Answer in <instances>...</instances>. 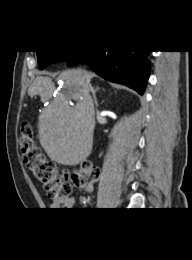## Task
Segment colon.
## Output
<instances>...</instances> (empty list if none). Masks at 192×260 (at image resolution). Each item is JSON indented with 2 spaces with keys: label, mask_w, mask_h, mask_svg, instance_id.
Masks as SVG:
<instances>
[{
  "label": "colon",
  "mask_w": 192,
  "mask_h": 260,
  "mask_svg": "<svg viewBox=\"0 0 192 260\" xmlns=\"http://www.w3.org/2000/svg\"><path fill=\"white\" fill-rule=\"evenodd\" d=\"M20 147L25 166L54 200L71 196L72 185L69 178L84 192H90L99 178V168L92 162L82 163L70 177L66 173H60L36 145L32 128L28 123H23L21 127Z\"/></svg>",
  "instance_id": "1"
}]
</instances>
